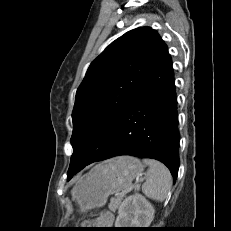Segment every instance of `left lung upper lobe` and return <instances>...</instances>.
<instances>
[{"mask_svg": "<svg viewBox=\"0 0 231 231\" xmlns=\"http://www.w3.org/2000/svg\"><path fill=\"white\" fill-rule=\"evenodd\" d=\"M164 47L155 30L137 28L113 41L90 64L76 92L74 152L67 175L86 166Z\"/></svg>", "mask_w": 231, "mask_h": 231, "instance_id": "obj_1", "label": "left lung upper lobe"}]
</instances>
